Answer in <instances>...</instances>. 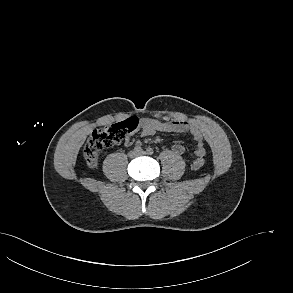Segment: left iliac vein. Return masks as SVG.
<instances>
[{"mask_svg": "<svg viewBox=\"0 0 293 293\" xmlns=\"http://www.w3.org/2000/svg\"><path fill=\"white\" fill-rule=\"evenodd\" d=\"M145 154H146L145 151H141V152L138 153V155H145Z\"/></svg>", "mask_w": 293, "mask_h": 293, "instance_id": "obj_1", "label": "left iliac vein"}]
</instances>
